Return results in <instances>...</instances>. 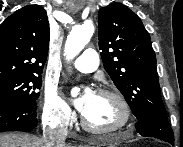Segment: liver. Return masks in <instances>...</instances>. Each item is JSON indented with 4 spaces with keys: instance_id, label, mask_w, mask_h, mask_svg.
Returning <instances> with one entry per match:
<instances>
[{
    "instance_id": "1",
    "label": "liver",
    "mask_w": 183,
    "mask_h": 147,
    "mask_svg": "<svg viewBox=\"0 0 183 147\" xmlns=\"http://www.w3.org/2000/svg\"><path fill=\"white\" fill-rule=\"evenodd\" d=\"M0 147H46L42 139L29 134H0ZM65 147V146H63Z\"/></svg>"
}]
</instances>
